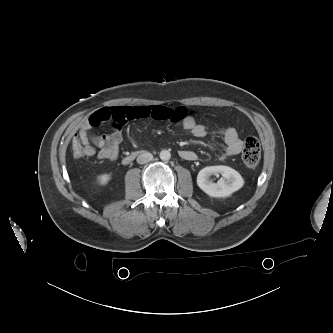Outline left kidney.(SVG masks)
Listing matches in <instances>:
<instances>
[{
  "label": "left kidney",
  "mask_w": 333,
  "mask_h": 333,
  "mask_svg": "<svg viewBox=\"0 0 333 333\" xmlns=\"http://www.w3.org/2000/svg\"><path fill=\"white\" fill-rule=\"evenodd\" d=\"M220 173L223 178L217 183L210 180V176ZM197 185L211 197H228L241 189L244 185L242 176L228 166H207L200 170L197 176Z\"/></svg>",
  "instance_id": "left-kidney-1"
}]
</instances>
